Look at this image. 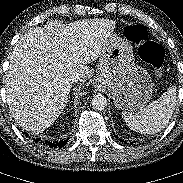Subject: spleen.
Returning <instances> with one entry per match:
<instances>
[{
	"label": "spleen",
	"mask_w": 183,
	"mask_h": 183,
	"mask_svg": "<svg viewBox=\"0 0 183 183\" xmlns=\"http://www.w3.org/2000/svg\"><path fill=\"white\" fill-rule=\"evenodd\" d=\"M176 103V87L172 86L160 98L138 112H123L122 118L136 132L144 135L155 134L168 125Z\"/></svg>",
	"instance_id": "spleen-1"
}]
</instances>
